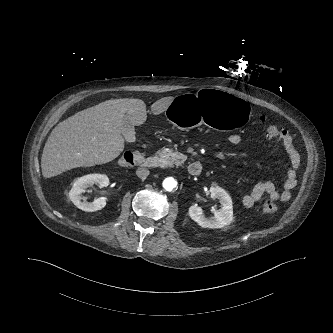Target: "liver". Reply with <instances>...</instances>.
Here are the masks:
<instances>
[{
	"label": "liver",
	"instance_id": "6515ba94",
	"mask_svg": "<svg viewBox=\"0 0 333 333\" xmlns=\"http://www.w3.org/2000/svg\"><path fill=\"white\" fill-rule=\"evenodd\" d=\"M174 97H164L151 106L154 115L167 110ZM125 116L134 125L147 119L141 99L123 98L104 101L60 122L49 135L41 157L42 175L57 176L77 167L105 164L124 150L121 126Z\"/></svg>",
	"mask_w": 333,
	"mask_h": 333
}]
</instances>
